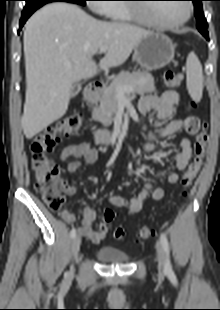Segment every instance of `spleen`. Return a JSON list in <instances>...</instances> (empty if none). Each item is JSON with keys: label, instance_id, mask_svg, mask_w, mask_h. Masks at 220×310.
I'll use <instances>...</instances> for the list:
<instances>
[{"label": "spleen", "instance_id": "spleen-1", "mask_svg": "<svg viewBox=\"0 0 220 310\" xmlns=\"http://www.w3.org/2000/svg\"><path fill=\"white\" fill-rule=\"evenodd\" d=\"M187 88L191 98L200 101L203 92L202 65L194 53H190L186 61Z\"/></svg>", "mask_w": 220, "mask_h": 310}]
</instances>
